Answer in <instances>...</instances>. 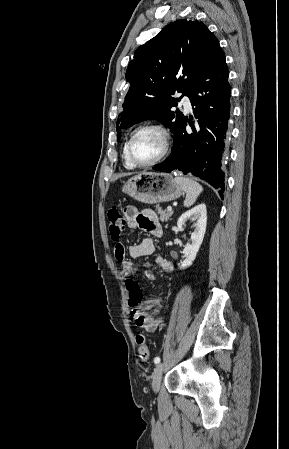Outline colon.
Returning <instances> with one entry per match:
<instances>
[{"mask_svg": "<svg viewBox=\"0 0 289 449\" xmlns=\"http://www.w3.org/2000/svg\"><path fill=\"white\" fill-rule=\"evenodd\" d=\"M107 217L110 236L113 240H118L125 229L124 216L117 206H112L108 210ZM127 286L130 293V306L132 309H136L141 301V290L137 283L132 279L127 280ZM135 339L140 359L142 361H147L150 357V353L144 333L139 332Z\"/></svg>", "mask_w": 289, "mask_h": 449, "instance_id": "obj_1", "label": "colon"}]
</instances>
